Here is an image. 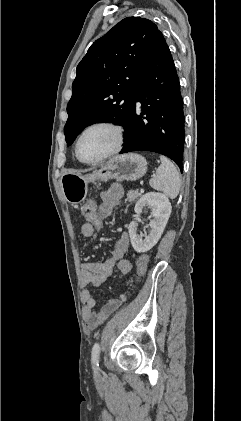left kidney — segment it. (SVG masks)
<instances>
[{
	"instance_id": "left-kidney-1",
	"label": "left kidney",
	"mask_w": 241,
	"mask_h": 421,
	"mask_svg": "<svg viewBox=\"0 0 241 421\" xmlns=\"http://www.w3.org/2000/svg\"><path fill=\"white\" fill-rule=\"evenodd\" d=\"M146 205L150 206L153 217V220L150 222L151 230L149 234L144 239L140 238L137 235V223L135 221L131 222L128 227L132 247L138 253L149 251L157 244L168 222L172 209L171 203L166 195L158 192H148L136 202L134 209L136 216L141 214L142 209Z\"/></svg>"
}]
</instances>
